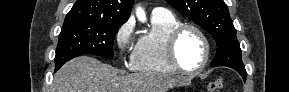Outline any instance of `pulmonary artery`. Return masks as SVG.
<instances>
[{
	"mask_svg": "<svg viewBox=\"0 0 289 92\" xmlns=\"http://www.w3.org/2000/svg\"><path fill=\"white\" fill-rule=\"evenodd\" d=\"M162 11H167V10L162 7H156L153 9V12H162Z\"/></svg>",
	"mask_w": 289,
	"mask_h": 92,
	"instance_id": "pulmonary-artery-1",
	"label": "pulmonary artery"
}]
</instances>
